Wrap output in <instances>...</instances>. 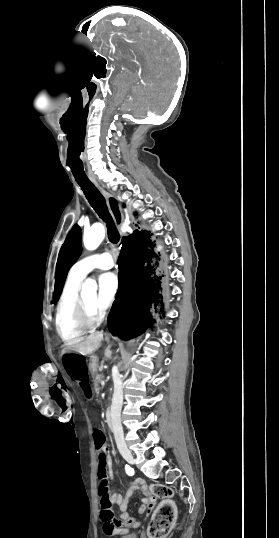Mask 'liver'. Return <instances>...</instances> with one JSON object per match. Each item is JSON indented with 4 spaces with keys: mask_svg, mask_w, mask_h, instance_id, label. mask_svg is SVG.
Listing matches in <instances>:
<instances>
[{
    "mask_svg": "<svg viewBox=\"0 0 279 538\" xmlns=\"http://www.w3.org/2000/svg\"><path fill=\"white\" fill-rule=\"evenodd\" d=\"M102 340L103 334H101V332H98V334L88 336V338H86V340H83V342H78V344H72V346H69V350L79 352V354H83V356H86V354H93V352H96V350L100 348Z\"/></svg>",
    "mask_w": 279,
    "mask_h": 538,
    "instance_id": "1",
    "label": "liver"
}]
</instances>
